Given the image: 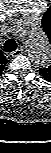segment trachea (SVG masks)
I'll list each match as a JSON object with an SVG mask.
<instances>
[{"instance_id":"trachea-1","label":"trachea","mask_w":51,"mask_h":153,"mask_svg":"<svg viewBox=\"0 0 51 153\" xmlns=\"http://www.w3.org/2000/svg\"><path fill=\"white\" fill-rule=\"evenodd\" d=\"M17 48V43L15 42V40L13 39H8L5 43H4V50L6 52H13L15 51Z\"/></svg>"}]
</instances>
